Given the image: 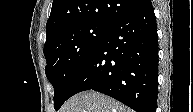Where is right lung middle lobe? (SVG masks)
Segmentation results:
<instances>
[{
	"label": "right lung middle lobe",
	"instance_id": "dd1d6c3e",
	"mask_svg": "<svg viewBox=\"0 0 193 112\" xmlns=\"http://www.w3.org/2000/svg\"><path fill=\"white\" fill-rule=\"evenodd\" d=\"M107 26L79 23L57 32L45 42L46 76L54 87V108L69 98L71 87Z\"/></svg>",
	"mask_w": 193,
	"mask_h": 112
}]
</instances>
